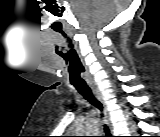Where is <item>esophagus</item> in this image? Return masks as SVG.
<instances>
[{"instance_id":"34e87169","label":"esophagus","mask_w":160,"mask_h":137,"mask_svg":"<svg viewBox=\"0 0 160 137\" xmlns=\"http://www.w3.org/2000/svg\"><path fill=\"white\" fill-rule=\"evenodd\" d=\"M94 95H95V97L97 98V100H98V101L103 105V107H104L105 122H106V124L108 125L110 131L112 132V129H113L112 123H111L110 116H109V113H108V111H107V108H106V106H105L103 97H102V95H101L100 92H94Z\"/></svg>"}]
</instances>
